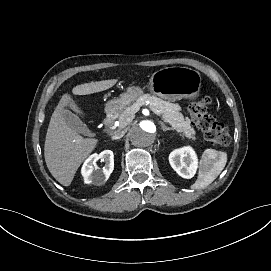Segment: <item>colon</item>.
Segmentation results:
<instances>
[{
	"label": "colon",
	"instance_id": "obj_1",
	"mask_svg": "<svg viewBox=\"0 0 271 271\" xmlns=\"http://www.w3.org/2000/svg\"><path fill=\"white\" fill-rule=\"evenodd\" d=\"M211 98L203 96L188 105L194 123L201 129L208 142L214 145H228L231 137L227 126L209 114Z\"/></svg>",
	"mask_w": 271,
	"mask_h": 271
}]
</instances>
